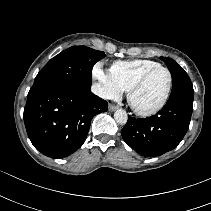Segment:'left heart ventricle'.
<instances>
[{
  "instance_id": "b2bd125f",
  "label": "left heart ventricle",
  "mask_w": 211,
  "mask_h": 211,
  "mask_svg": "<svg viewBox=\"0 0 211 211\" xmlns=\"http://www.w3.org/2000/svg\"><path fill=\"white\" fill-rule=\"evenodd\" d=\"M168 85V74L164 70H156L133 95V104L139 109H150L163 98Z\"/></svg>"
}]
</instances>
